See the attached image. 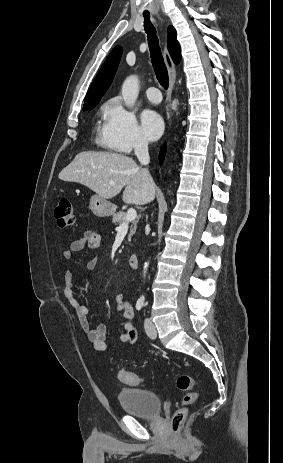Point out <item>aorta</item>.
<instances>
[{"label": "aorta", "mask_w": 283, "mask_h": 463, "mask_svg": "<svg viewBox=\"0 0 283 463\" xmlns=\"http://www.w3.org/2000/svg\"><path fill=\"white\" fill-rule=\"evenodd\" d=\"M139 94V79L136 75H131L126 78L122 85V97L127 107L134 106ZM149 267V262H146L143 267V276H146ZM144 296H142V299Z\"/></svg>", "instance_id": "obj_1"}]
</instances>
